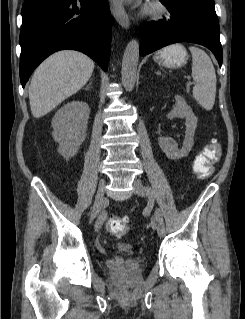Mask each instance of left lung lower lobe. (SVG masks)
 I'll return each mask as SVG.
<instances>
[{"instance_id": "obj_1", "label": "left lung lower lobe", "mask_w": 245, "mask_h": 319, "mask_svg": "<svg viewBox=\"0 0 245 319\" xmlns=\"http://www.w3.org/2000/svg\"><path fill=\"white\" fill-rule=\"evenodd\" d=\"M171 14L169 20L148 22L141 28L140 55L177 42H191L210 49L222 65L220 28L215 12L197 5L160 0Z\"/></svg>"}]
</instances>
